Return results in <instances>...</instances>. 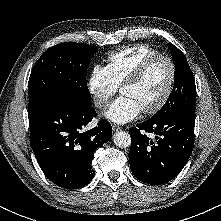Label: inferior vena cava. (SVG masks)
Returning a JSON list of instances; mask_svg holds the SVG:
<instances>
[{
  "instance_id": "1",
  "label": "inferior vena cava",
  "mask_w": 221,
  "mask_h": 221,
  "mask_svg": "<svg viewBox=\"0 0 221 221\" xmlns=\"http://www.w3.org/2000/svg\"><path fill=\"white\" fill-rule=\"evenodd\" d=\"M106 104V99L105 98H98L95 100V105L97 107H103Z\"/></svg>"
}]
</instances>
